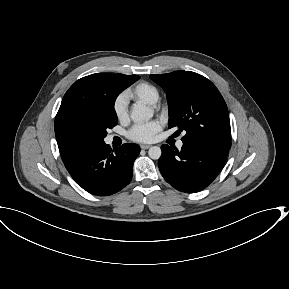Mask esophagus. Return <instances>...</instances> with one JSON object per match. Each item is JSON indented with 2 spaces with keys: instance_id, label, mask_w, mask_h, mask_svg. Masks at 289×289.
I'll list each match as a JSON object with an SVG mask.
<instances>
[{
  "instance_id": "34e87169",
  "label": "esophagus",
  "mask_w": 289,
  "mask_h": 289,
  "mask_svg": "<svg viewBox=\"0 0 289 289\" xmlns=\"http://www.w3.org/2000/svg\"><path fill=\"white\" fill-rule=\"evenodd\" d=\"M141 147V149H149L150 147H151V145H141L140 146Z\"/></svg>"
}]
</instances>
